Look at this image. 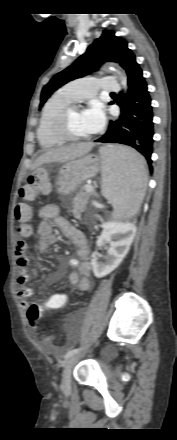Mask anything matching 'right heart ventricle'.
<instances>
[{"label":"right heart ventricle","mask_w":177,"mask_h":440,"mask_svg":"<svg viewBox=\"0 0 177 440\" xmlns=\"http://www.w3.org/2000/svg\"><path fill=\"white\" fill-rule=\"evenodd\" d=\"M74 98L65 90V87L54 93L45 103L37 127V139L44 149L54 148L62 141L52 130L53 122L58 113L67 105L73 104Z\"/></svg>","instance_id":"right-heart-ventricle-1"}]
</instances>
